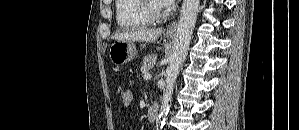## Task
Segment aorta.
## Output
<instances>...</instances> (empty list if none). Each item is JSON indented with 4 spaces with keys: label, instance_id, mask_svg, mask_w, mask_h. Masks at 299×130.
Segmentation results:
<instances>
[{
    "label": "aorta",
    "instance_id": "1",
    "mask_svg": "<svg viewBox=\"0 0 299 130\" xmlns=\"http://www.w3.org/2000/svg\"><path fill=\"white\" fill-rule=\"evenodd\" d=\"M199 2L200 0H184L182 4L180 19L173 44V51L165 74V89L159 115V124L161 128L165 124L166 116L171 107L175 81L187 56V51L196 23Z\"/></svg>",
    "mask_w": 299,
    "mask_h": 130
}]
</instances>
